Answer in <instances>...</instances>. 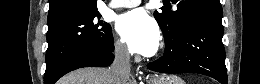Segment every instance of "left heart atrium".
<instances>
[{
    "label": "left heart atrium",
    "mask_w": 260,
    "mask_h": 84,
    "mask_svg": "<svg viewBox=\"0 0 260 84\" xmlns=\"http://www.w3.org/2000/svg\"><path fill=\"white\" fill-rule=\"evenodd\" d=\"M117 30L129 49L142 55H152L160 43L156 22L142 8L128 11L117 20Z\"/></svg>",
    "instance_id": "left-heart-atrium-1"
}]
</instances>
